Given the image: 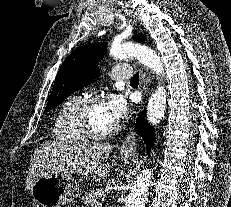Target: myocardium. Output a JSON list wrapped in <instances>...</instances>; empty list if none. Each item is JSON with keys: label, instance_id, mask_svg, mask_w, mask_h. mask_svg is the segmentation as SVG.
Instances as JSON below:
<instances>
[{"label": "myocardium", "instance_id": "f54148a6", "mask_svg": "<svg viewBox=\"0 0 231 207\" xmlns=\"http://www.w3.org/2000/svg\"><path fill=\"white\" fill-rule=\"evenodd\" d=\"M98 103H103V99L100 95H88L79 100L76 104L75 108L72 112V120L75 128L77 129L78 133L87 140L92 141H101L106 140L108 138L113 137L117 134L120 129V125L116 123V125L106 132H96L94 131L88 121H87V114L89 109Z\"/></svg>", "mask_w": 231, "mask_h": 207}]
</instances>
